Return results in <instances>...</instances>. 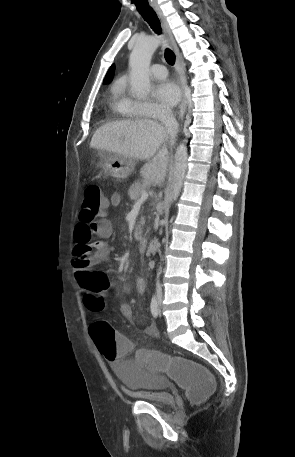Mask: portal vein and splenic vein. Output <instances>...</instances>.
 Listing matches in <instances>:
<instances>
[{
	"mask_svg": "<svg viewBox=\"0 0 295 457\" xmlns=\"http://www.w3.org/2000/svg\"><path fill=\"white\" fill-rule=\"evenodd\" d=\"M148 199V193L147 192H143L140 196V198L138 199V202H143L145 200Z\"/></svg>",
	"mask_w": 295,
	"mask_h": 457,
	"instance_id": "18ae733b",
	"label": "portal vein and splenic vein"
}]
</instances>
